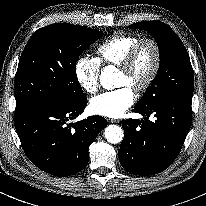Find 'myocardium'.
Returning <instances> with one entry per match:
<instances>
[{
    "label": "myocardium",
    "mask_w": 206,
    "mask_h": 206,
    "mask_svg": "<svg viewBox=\"0 0 206 206\" xmlns=\"http://www.w3.org/2000/svg\"><path fill=\"white\" fill-rule=\"evenodd\" d=\"M145 44L150 45L151 48L153 49L154 60H153V65H152V68H151V71L148 77L142 83L132 87L133 90L137 93L146 91L153 84V82L155 81L158 75V72L161 66V58H162L161 48L158 42L155 39L150 38V37H144V38L139 39L129 50L122 65L119 67L120 72L127 74V75L130 74L136 63L138 54L141 48Z\"/></svg>",
    "instance_id": "myocardium-1"
}]
</instances>
